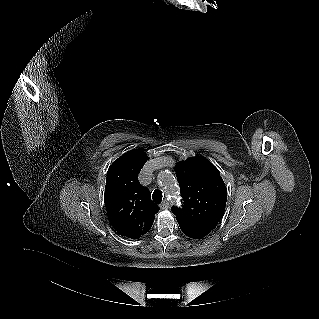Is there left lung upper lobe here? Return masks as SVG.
<instances>
[{"instance_id":"1","label":"left lung upper lobe","mask_w":319,"mask_h":319,"mask_svg":"<svg viewBox=\"0 0 319 319\" xmlns=\"http://www.w3.org/2000/svg\"><path fill=\"white\" fill-rule=\"evenodd\" d=\"M175 171L183 198V207L172 209L177 221L213 230L223 216L227 201V188L220 172L202 157L178 162Z\"/></svg>"}]
</instances>
